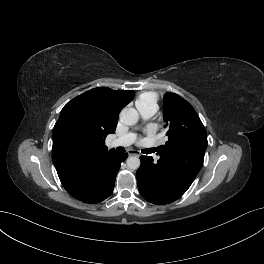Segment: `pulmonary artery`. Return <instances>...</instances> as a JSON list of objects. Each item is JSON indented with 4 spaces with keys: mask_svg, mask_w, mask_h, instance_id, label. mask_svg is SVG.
Wrapping results in <instances>:
<instances>
[{
    "mask_svg": "<svg viewBox=\"0 0 264 264\" xmlns=\"http://www.w3.org/2000/svg\"><path fill=\"white\" fill-rule=\"evenodd\" d=\"M138 110H139L141 117L144 119H148L152 117L156 112V110L152 107H142V108H138ZM134 140H135V134L128 133V134H125L121 137L114 139L111 142V147H126V146L131 145L134 142Z\"/></svg>",
    "mask_w": 264,
    "mask_h": 264,
    "instance_id": "pulmonary-artery-1",
    "label": "pulmonary artery"
}]
</instances>
